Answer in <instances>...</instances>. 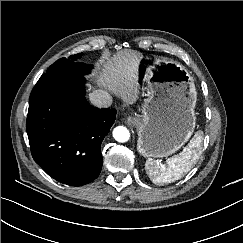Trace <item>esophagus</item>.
Wrapping results in <instances>:
<instances>
[{
	"mask_svg": "<svg viewBox=\"0 0 243 243\" xmlns=\"http://www.w3.org/2000/svg\"><path fill=\"white\" fill-rule=\"evenodd\" d=\"M133 118H131V117H127L126 119H125V122H127V123H132L133 122Z\"/></svg>",
	"mask_w": 243,
	"mask_h": 243,
	"instance_id": "1",
	"label": "esophagus"
}]
</instances>
